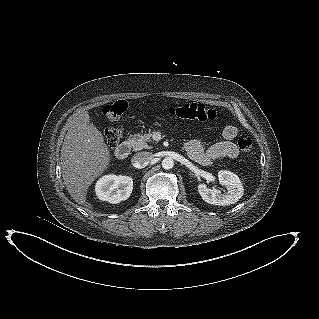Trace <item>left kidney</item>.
I'll list each match as a JSON object with an SVG mask.
<instances>
[{
  "label": "left kidney",
  "mask_w": 319,
  "mask_h": 319,
  "mask_svg": "<svg viewBox=\"0 0 319 319\" xmlns=\"http://www.w3.org/2000/svg\"><path fill=\"white\" fill-rule=\"evenodd\" d=\"M218 179L227 191L223 193L217 189H210L205 184L198 185V191L202 199L213 205L226 206L236 203L244 193L239 177L233 172L221 170L218 172Z\"/></svg>",
  "instance_id": "5707ae66"
}]
</instances>
